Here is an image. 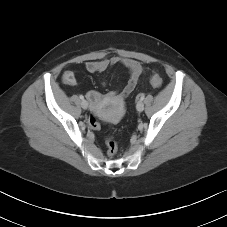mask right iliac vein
I'll return each instance as SVG.
<instances>
[{"label":"right iliac vein","mask_w":227,"mask_h":227,"mask_svg":"<svg viewBox=\"0 0 227 227\" xmlns=\"http://www.w3.org/2000/svg\"><path fill=\"white\" fill-rule=\"evenodd\" d=\"M81 107H82L83 109H87V108H88V102H87L86 100H83V101L81 102Z\"/></svg>","instance_id":"63e3f726"}]
</instances>
